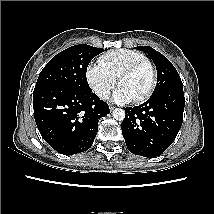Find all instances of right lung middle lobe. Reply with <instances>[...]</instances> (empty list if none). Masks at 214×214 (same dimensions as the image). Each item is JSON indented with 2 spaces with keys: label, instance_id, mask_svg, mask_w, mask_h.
Returning <instances> with one entry per match:
<instances>
[{
  "label": "right lung middle lobe",
  "instance_id": "right-lung-middle-lobe-1",
  "mask_svg": "<svg viewBox=\"0 0 214 214\" xmlns=\"http://www.w3.org/2000/svg\"><path fill=\"white\" fill-rule=\"evenodd\" d=\"M103 51L102 48L81 44L58 53L41 71L34 92L48 87L91 92L86 79L87 67Z\"/></svg>",
  "mask_w": 214,
  "mask_h": 214
}]
</instances>
